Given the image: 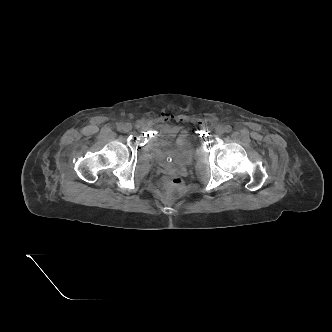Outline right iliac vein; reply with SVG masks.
<instances>
[{"instance_id": "right-iliac-vein-1", "label": "right iliac vein", "mask_w": 332, "mask_h": 332, "mask_svg": "<svg viewBox=\"0 0 332 332\" xmlns=\"http://www.w3.org/2000/svg\"><path fill=\"white\" fill-rule=\"evenodd\" d=\"M122 129L124 132H130L132 130V125L130 123H125Z\"/></svg>"}]
</instances>
